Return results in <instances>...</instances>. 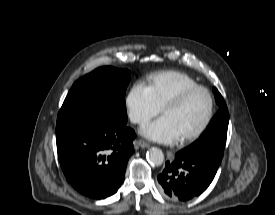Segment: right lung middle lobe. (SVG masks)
<instances>
[{"mask_svg": "<svg viewBox=\"0 0 275 215\" xmlns=\"http://www.w3.org/2000/svg\"><path fill=\"white\" fill-rule=\"evenodd\" d=\"M129 71L100 67L77 80L57 117V125L86 123L101 118L127 122L125 91Z\"/></svg>", "mask_w": 275, "mask_h": 215, "instance_id": "obj_1", "label": "right lung middle lobe"}]
</instances>
